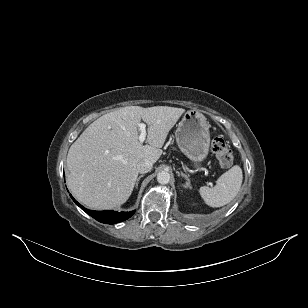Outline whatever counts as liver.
<instances>
[{"label":"liver","instance_id":"1","mask_svg":"<svg viewBox=\"0 0 308 308\" xmlns=\"http://www.w3.org/2000/svg\"><path fill=\"white\" fill-rule=\"evenodd\" d=\"M183 108L127 106L91 123L67 155V185L73 196L91 209L121 206L130 197L143 159L155 163L169 131ZM147 125V145L139 142L138 124Z\"/></svg>","mask_w":308,"mask_h":308}]
</instances>
